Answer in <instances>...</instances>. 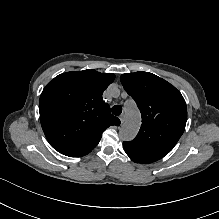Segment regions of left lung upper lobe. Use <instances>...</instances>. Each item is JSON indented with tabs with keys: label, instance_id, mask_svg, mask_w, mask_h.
Segmentation results:
<instances>
[{
	"label": "left lung upper lobe",
	"instance_id": "left-lung-upper-lobe-1",
	"mask_svg": "<svg viewBox=\"0 0 219 219\" xmlns=\"http://www.w3.org/2000/svg\"><path fill=\"white\" fill-rule=\"evenodd\" d=\"M120 80L142 116L137 136L123 142L124 150L134 162H155L174 148L185 130V100L173 85L152 73L122 74Z\"/></svg>",
	"mask_w": 219,
	"mask_h": 219
}]
</instances>
